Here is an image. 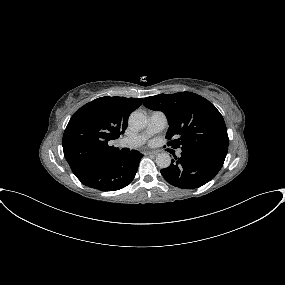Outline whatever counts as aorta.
I'll list each match as a JSON object with an SVG mask.
<instances>
[{
  "label": "aorta",
  "mask_w": 285,
  "mask_h": 285,
  "mask_svg": "<svg viewBox=\"0 0 285 285\" xmlns=\"http://www.w3.org/2000/svg\"><path fill=\"white\" fill-rule=\"evenodd\" d=\"M147 117L143 112L140 111H134L130 114L128 123L129 125L136 129L141 130L144 129L147 126ZM156 164L160 168H167L171 164V157L167 153H160L156 157Z\"/></svg>",
  "instance_id": "1"
}]
</instances>
